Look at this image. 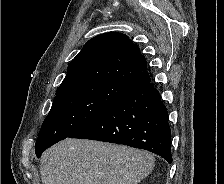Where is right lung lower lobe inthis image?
Masks as SVG:
<instances>
[{
  "label": "right lung lower lobe",
  "mask_w": 224,
  "mask_h": 184,
  "mask_svg": "<svg viewBox=\"0 0 224 184\" xmlns=\"http://www.w3.org/2000/svg\"><path fill=\"white\" fill-rule=\"evenodd\" d=\"M69 138L145 149L172 163L167 109L151 82L131 88L104 113Z\"/></svg>",
  "instance_id": "obj_1"
}]
</instances>
